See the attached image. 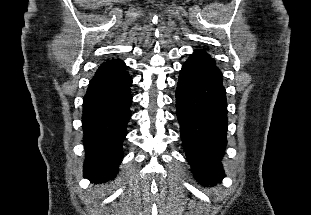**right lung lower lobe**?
Here are the masks:
<instances>
[{
    "mask_svg": "<svg viewBox=\"0 0 311 215\" xmlns=\"http://www.w3.org/2000/svg\"><path fill=\"white\" fill-rule=\"evenodd\" d=\"M132 77L123 61L102 63L83 100L82 126L86 159L84 177L92 182L112 179L122 159V143L130 119Z\"/></svg>",
    "mask_w": 311,
    "mask_h": 215,
    "instance_id": "right-lung-lower-lobe-1",
    "label": "right lung lower lobe"
}]
</instances>
